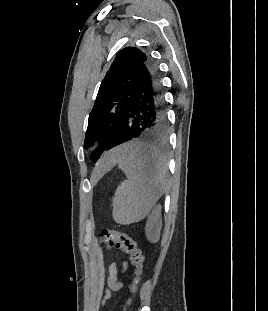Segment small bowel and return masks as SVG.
<instances>
[{
    "instance_id": "c3829d8e",
    "label": "small bowel",
    "mask_w": 268,
    "mask_h": 311,
    "mask_svg": "<svg viewBox=\"0 0 268 311\" xmlns=\"http://www.w3.org/2000/svg\"><path fill=\"white\" fill-rule=\"evenodd\" d=\"M126 269H127L126 262H123L121 265H118L115 262L110 264L108 269L106 288L102 298V304L105 305L110 300L113 293L119 291L122 288L123 284L118 280V274L125 272Z\"/></svg>"
}]
</instances>
